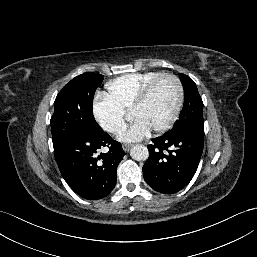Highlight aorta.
<instances>
[{"mask_svg":"<svg viewBox=\"0 0 257 257\" xmlns=\"http://www.w3.org/2000/svg\"><path fill=\"white\" fill-rule=\"evenodd\" d=\"M130 155L134 160L144 161L148 159L149 151L146 146L139 144L131 149Z\"/></svg>","mask_w":257,"mask_h":257,"instance_id":"762f6f07","label":"aorta"}]
</instances>
